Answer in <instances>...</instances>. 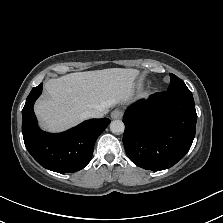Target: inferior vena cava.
<instances>
[{"label": "inferior vena cava", "mask_w": 223, "mask_h": 223, "mask_svg": "<svg viewBox=\"0 0 223 223\" xmlns=\"http://www.w3.org/2000/svg\"><path fill=\"white\" fill-rule=\"evenodd\" d=\"M106 112L102 108L100 109H92L87 112L88 118H102Z\"/></svg>", "instance_id": "obj_1"}]
</instances>
